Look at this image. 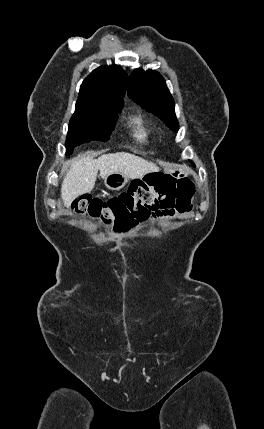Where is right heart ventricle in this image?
Wrapping results in <instances>:
<instances>
[{"instance_id": "e07e8e85", "label": "right heart ventricle", "mask_w": 264, "mask_h": 429, "mask_svg": "<svg viewBox=\"0 0 264 429\" xmlns=\"http://www.w3.org/2000/svg\"><path fill=\"white\" fill-rule=\"evenodd\" d=\"M129 125L131 127L133 136L141 141H146L151 136V130L149 121L142 114L134 115L129 119Z\"/></svg>"}]
</instances>
